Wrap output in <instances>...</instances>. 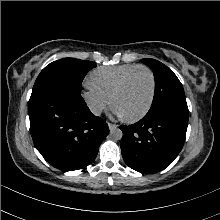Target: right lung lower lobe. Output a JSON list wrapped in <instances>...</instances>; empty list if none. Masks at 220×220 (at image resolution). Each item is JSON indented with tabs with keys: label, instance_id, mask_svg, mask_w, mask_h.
<instances>
[{
	"label": "right lung lower lobe",
	"instance_id": "1",
	"mask_svg": "<svg viewBox=\"0 0 220 220\" xmlns=\"http://www.w3.org/2000/svg\"><path fill=\"white\" fill-rule=\"evenodd\" d=\"M29 118L37 150L63 171L91 164L109 133L105 120L90 112L81 94L62 88L32 91Z\"/></svg>",
	"mask_w": 220,
	"mask_h": 220
}]
</instances>
